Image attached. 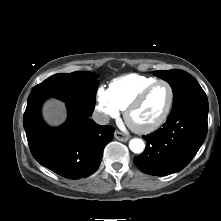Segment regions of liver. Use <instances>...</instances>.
Returning a JSON list of instances; mask_svg holds the SVG:
<instances>
[{
	"label": "liver",
	"mask_w": 221,
	"mask_h": 221,
	"mask_svg": "<svg viewBox=\"0 0 221 221\" xmlns=\"http://www.w3.org/2000/svg\"><path fill=\"white\" fill-rule=\"evenodd\" d=\"M43 117L51 126L62 124L67 117L65 104L59 100H48L43 106Z\"/></svg>",
	"instance_id": "liver-1"
}]
</instances>
